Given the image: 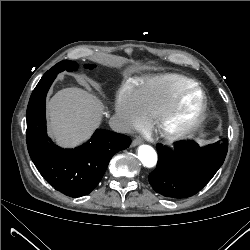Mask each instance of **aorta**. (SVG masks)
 Wrapping results in <instances>:
<instances>
[{
    "label": "aorta",
    "instance_id": "1",
    "mask_svg": "<svg viewBox=\"0 0 250 250\" xmlns=\"http://www.w3.org/2000/svg\"><path fill=\"white\" fill-rule=\"evenodd\" d=\"M138 158L141 163L148 168H152L157 163V154L149 145H141L138 148Z\"/></svg>",
    "mask_w": 250,
    "mask_h": 250
}]
</instances>
